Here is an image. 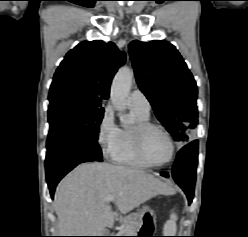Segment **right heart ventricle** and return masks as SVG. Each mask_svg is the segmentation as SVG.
<instances>
[{
	"label": "right heart ventricle",
	"mask_w": 248,
	"mask_h": 237,
	"mask_svg": "<svg viewBox=\"0 0 248 237\" xmlns=\"http://www.w3.org/2000/svg\"><path fill=\"white\" fill-rule=\"evenodd\" d=\"M131 108L137 118V123L149 120V113H144L133 107ZM132 129L133 127L120 129L118 148L112 156V160L117 164L125 166L147 168L149 166L138 157L135 151L132 140Z\"/></svg>",
	"instance_id": "e07e8e85"
}]
</instances>
